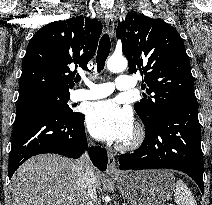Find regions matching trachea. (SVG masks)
Returning <instances> with one entry per match:
<instances>
[{"instance_id":"trachea-1","label":"trachea","mask_w":212,"mask_h":205,"mask_svg":"<svg viewBox=\"0 0 212 205\" xmlns=\"http://www.w3.org/2000/svg\"><path fill=\"white\" fill-rule=\"evenodd\" d=\"M111 42L109 35L107 33L103 34L99 42L98 52H97V71L101 72L104 69L105 61L110 53ZM81 80L80 77L75 79L76 82Z\"/></svg>"}]
</instances>
